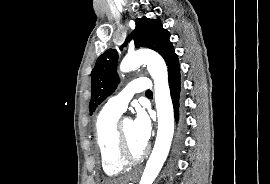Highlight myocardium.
Wrapping results in <instances>:
<instances>
[{
	"label": "myocardium",
	"mask_w": 270,
	"mask_h": 184,
	"mask_svg": "<svg viewBox=\"0 0 270 184\" xmlns=\"http://www.w3.org/2000/svg\"><path fill=\"white\" fill-rule=\"evenodd\" d=\"M125 119L118 121L116 125V149L119 160L128 165L139 162L145 158L149 152V147L146 145L144 149L138 154H134L131 151L123 130V121Z\"/></svg>",
	"instance_id": "1"
}]
</instances>
